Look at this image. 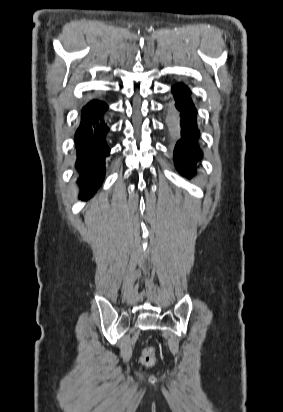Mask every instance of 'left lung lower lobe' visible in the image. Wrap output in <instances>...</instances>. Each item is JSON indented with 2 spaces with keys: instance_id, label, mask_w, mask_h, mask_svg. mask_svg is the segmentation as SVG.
<instances>
[{
  "instance_id": "0a47b994",
  "label": "left lung lower lobe",
  "mask_w": 283,
  "mask_h": 412,
  "mask_svg": "<svg viewBox=\"0 0 283 412\" xmlns=\"http://www.w3.org/2000/svg\"><path fill=\"white\" fill-rule=\"evenodd\" d=\"M176 100V107L181 111L182 139L178 141L174 150L176 168L180 173L190 178L195 173V163L202 157L196 141L198 131L196 129V109L190 99V91L183 84L172 87Z\"/></svg>"
}]
</instances>
